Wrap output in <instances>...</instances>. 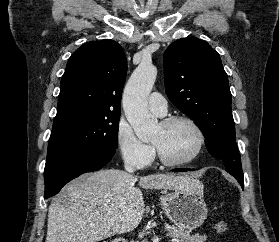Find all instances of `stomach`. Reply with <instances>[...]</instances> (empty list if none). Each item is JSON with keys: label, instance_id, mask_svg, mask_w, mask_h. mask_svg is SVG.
Returning a JSON list of instances; mask_svg holds the SVG:
<instances>
[{"label": "stomach", "instance_id": "stomach-1", "mask_svg": "<svg viewBox=\"0 0 279 242\" xmlns=\"http://www.w3.org/2000/svg\"><path fill=\"white\" fill-rule=\"evenodd\" d=\"M202 194V185L197 189L174 190L164 193L160 203L171 222L190 231L200 227L207 217L208 209Z\"/></svg>", "mask_w": 279, "mask_h": 242}]
</instances>
